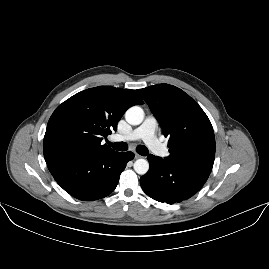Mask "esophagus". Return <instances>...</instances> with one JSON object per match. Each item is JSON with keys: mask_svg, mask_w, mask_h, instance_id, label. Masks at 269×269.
<instances>
[{"mask_svg": "<svg viewBox=\"0 0 269 269\" xmlns=\"http://www.w3.org/2000/svg\"><path fill=\"white\" fill-rule=\"evenodd\" d=\"M134 157H135V159H139V158H141L142 156L139 155V154H137V153L135 152V153H134Z\"/></svg>", "mask_w": 269, "mask_h": 269, "instance_id": "esophagus-1", "label": "esophagus"}]
</instances>
